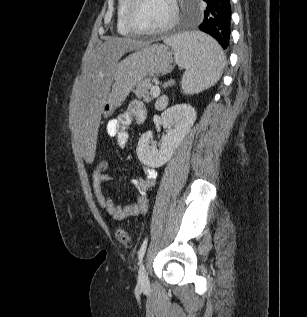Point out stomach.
<instances>
[{"label": "stomach", "instance_id": "stomach-1", "mask_svg": "<svg viewBox=\"0 0 307 317\" xmlns=\"http://www.w3.org/2000/svg\"><path fill=\"white\" fill-rule=\"evenodd\" d=\"M174 68L173 51L163 44L144 45L117 63L103 99L101 113L110 116L136 84L166 75Z\"/></svg>", "mask_w": 307, "mask_h": 317}]
</instances>
